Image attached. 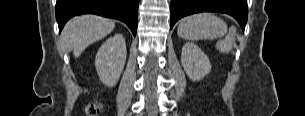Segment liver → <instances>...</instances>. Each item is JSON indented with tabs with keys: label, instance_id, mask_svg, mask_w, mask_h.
Returning a JSON list of instances; mask_svg holds the SVG:
<instances>
[{
	"label": "liver",
	"instance_id": "liver-1",
	"mask_svg": "<svg viewBox=\"0 0 305 116\" xmlns=\"http://www.w3.org/2000/svg\"><path fill=\"white\" fill-rule=\"evenodd\" d=\"M115 27L114 21L96 15H82L67 22L62 37L65 43L73 48L74 57L94 42L104 38Z\"/></svg>",
	"mask_w": 305,
	"mask_h": 116
}]
</instances>
